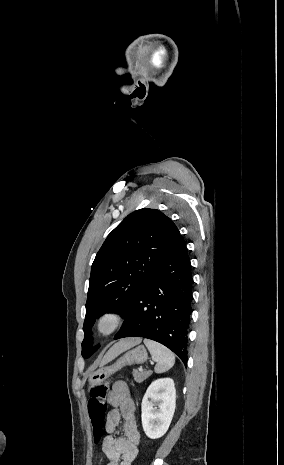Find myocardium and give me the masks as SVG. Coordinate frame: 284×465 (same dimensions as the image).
Instances as JSON below:
<instances>
[{
	"instance_id": "1",
	"label": "myocardium",
	"mask_w": 284,
	"mask_h": 465,
	"mask_svg": "<svg viewBox=\"0 0 284 465\" xmlns=\"http://www.w3.org/2000/svg\"><path fill=\"white\" fill-rule=\"evenodd\" d=\"M123 316L117 311H106L95 322L96 333L103 338L115 334L123 325Z\"/></svg>"
}]
</instances>
